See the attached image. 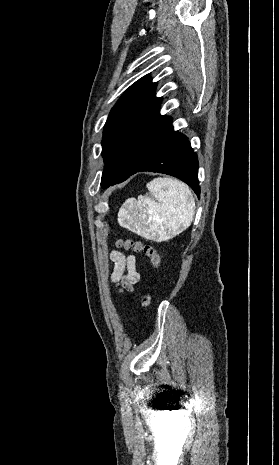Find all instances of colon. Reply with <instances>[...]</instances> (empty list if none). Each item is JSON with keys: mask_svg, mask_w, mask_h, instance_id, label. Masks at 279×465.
<instances>
[{"mask_svg": "<svg viewBox=\"0 0 279 465\" xmlns=\"http://www.w3.org/2000/svg\"><path fill=\"white\" fill-rule=\"evenodd\" d=\"M118 245L125 250H131L144 254L149 258L151 266L154 270H157L160 267V256L154 246L134 239L119 240ZM141 301L142 305L148 306L151 301L150 296L144 295Z\"/></svg>", "mask_w": 279, "mask_h": 465, "instance_id": "obj_1", "label": "colon"}]
</instances>
